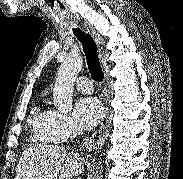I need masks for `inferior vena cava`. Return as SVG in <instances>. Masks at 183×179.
I'll return each instance as SVG.
<instances>
[{
	"label": "inferior vena cava",
	"mask_w": 183,
	"mask_h": 179,
	"mask_svg": "<svg viewBox=\"0 0 183 179\" xmlns=\"http://www.w3.org/2000/svg\"><path fill=\"white\" fill-rule=\"evenodd\" d=\"M76 136V132L73 130V137ZM78 175V174H77ZM78 179H81L80 177H78Z\"/></svg>",
	"instance_id": "1"
}]
</instances>
